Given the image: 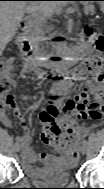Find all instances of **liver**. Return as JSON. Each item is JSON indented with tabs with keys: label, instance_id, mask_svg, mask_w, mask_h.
<instances>
[{
	"label": "liver",
	"instance_id": "obj_1",
	"mask_svg": "<svg viewBox=\"0 0 104 189\" xmlns=\"http://www.w3.org/2000/svg\"><path fill=\"white\" fill-rule=\"evenodd\" d=\"M60 2L1 1L0 3V47L5 46L17 33L20 21L26 12L53 11Z\"/></svg>",
	"mask_w": 104,
	"mask_h": 189
}]
</instances>
